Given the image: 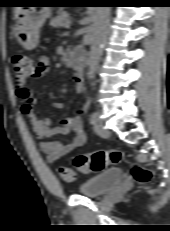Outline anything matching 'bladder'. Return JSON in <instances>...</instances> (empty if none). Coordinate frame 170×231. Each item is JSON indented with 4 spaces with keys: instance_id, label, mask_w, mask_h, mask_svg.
<instances>
[{
    "instance_id": "bladder-1",
    "label": "bladder",
    "mask_w": 170,
    "mask_h": 231,
    "mask_svg": "<svg viewBox=\"0 0 170 231\" xmlns=\"http://www.w3.org/2000/svg\"><path fill=\"white\" fill-rule=\"evenodd\" d=\"M124 178V170L121 168L109 169L84 182L79 187V192L86 197H99L108 193Z\"/></svg>"
}]
</instances>
